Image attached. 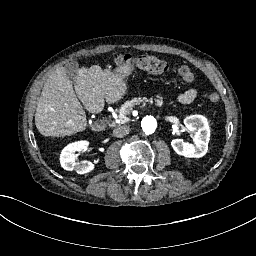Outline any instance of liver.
I'll return each mask as SVG.
<instances>
[{
  "mask_svg": "<svg viewBox=\"0 0 256 256\" xmlns=\"http://www.w3.org/2000/svg\"><path fill=\"white\" fill-rule=\"evenodd\" d=\"M129 84L123 69L112 70L94 64L81 66L73 78L65 66L57 68L42 89L35 112V126L43 136L66 137L87 128L89 113L103 111L128 94Z\"/></svg>",
  "mask_w": 256,
  "mask_h": 256,
  "instance_id": "liver-1",
  "label": "liver"
}]
</instances>
